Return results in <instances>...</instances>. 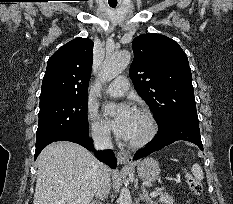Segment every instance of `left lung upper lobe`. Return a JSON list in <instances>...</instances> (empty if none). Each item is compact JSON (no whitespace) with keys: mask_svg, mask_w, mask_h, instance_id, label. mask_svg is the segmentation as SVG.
I'll return each instance as SVG.
<instances>
[{"mask_svg":"<svg viewBox=\"0 0 233 204\" xmlns=\"http://www.w3.org/2000/svg\"><path fill=\"white\" fill-rule=\"evenodd\" d=\"M132 48L134 60L129 75L158 126L173 120L198 121L191 69L178 43L161 34L147 33L135 37Z\"/></svg>","mask_w":233,"mask_h":204,"instance_id":"obj_1","label":"left lung upper lobe"}]
</instances>
